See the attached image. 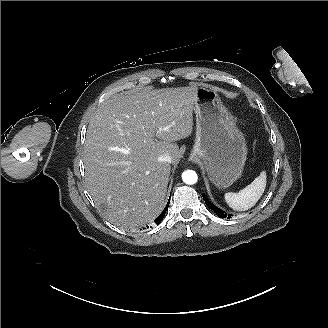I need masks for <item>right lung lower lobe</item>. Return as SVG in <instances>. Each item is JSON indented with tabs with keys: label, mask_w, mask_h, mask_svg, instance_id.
I'll use <instances>...</instances> for the list:
<instances>
[{
	"label": "right lung lower lobe",
	"mask_w": 328,
	"mask_h": 328,
	"mask_svg": "<svg viewBox=\"0 0 328 328\" xmlns=\"http://www.w3.org/2000/svg\"><path fill=\"white\" fill-rule=\"evenodd\" d=\"M169 203H170V199H169V201H168V203H167V205H166V207H165V209L162 211V213L155 219V223L158 225V224H160V222L162 221V219L164 218V216H165V213H166V211H167V209H168V206H169ZM148 227V226H147Z\"/></svg>",
	"instance_id": "1"
}]
</instances>
